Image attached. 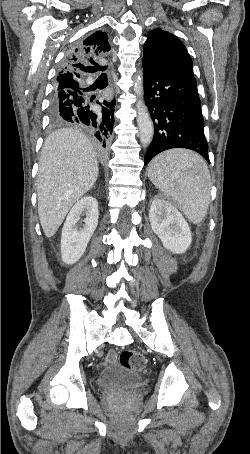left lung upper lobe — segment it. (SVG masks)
I'll return each mask as SVG.
<instances>
[{"label": "left lung upper lobe", "mask_w": 250, "mask_h": 454, "mask_svg": "<svg viewBox=\"0 0 250 454\" xmlns=\"http://www.w3.org/2000/svg\"><path fill=\"white\" fill-rule=\"evenodd\" d=\"M143 61L175 73L193 75L192 60L183 43L160 28L152 30L143 48Z\"/></svg>", "instance_id": "left-lung-upper-lobe-1"}]
</instances>
